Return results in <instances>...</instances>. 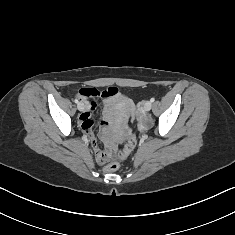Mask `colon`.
<instances>
[{"label":"colon","instance_id":"obj_1","mask_svg":"<svg viewBox=\"0 0 235 235\" xmlns=\"http://www.w3.org/2000/svg\"><path fill=\"white\" fill-rule=\"evenodd\" d=\"M114 90L115 88L111 87L105 90H99V89L98 91L90 90L86 93V95L106 97L113 95ZM135 145H136L135 134L131 135L128 138L125 146L118 151H115L113 144H111L106 150H103L99 146L95 145L96 158L98 162L105 164L104 169L106 171H113L118 167V163L116 161H113L112 159L116 157L119 160H125L133 151Z\"/></svg>","mask_w":235,"mask_h":235}]
</instances>
